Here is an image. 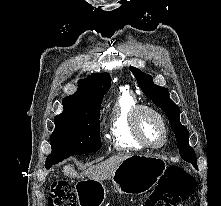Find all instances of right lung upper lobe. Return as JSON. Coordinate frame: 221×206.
<instances>
[{"label":"right lung upper lobe","mask_w":221,"mask_h":206,"mask_svg":"<svg viewBox=\"0 0 221 206\" xmlns=\"http://www.w3.org/2000/svg\"><path fill=\"white\" fill-rule=\"evenodd\" d=\"M110 83L111 78L108 73H94L84 80H79L76 93L62 100L63 113L100 107L104 94L110 88Z\"/></svg>","instance_id":"1"}]
</instances>
